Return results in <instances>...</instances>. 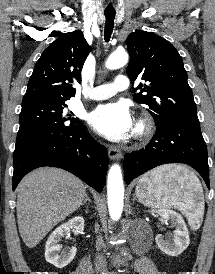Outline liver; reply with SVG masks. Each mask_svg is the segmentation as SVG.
Here are the masks:
<instances>
[{
    "instance_id": "1",
    "label": "liver",
    "mask_w": 215,
    "mask_h": 274,
    "mask_svg": "<svg viewBox=\"0 0 215 274\" xmlns=\"http://www.w3.org/2000/svg\"><path fill=\"white\" fill-rule=\"evenodd\" d=\"M83 182L58 168H39L17 188L19 233L27 247H35L59 222L75 212L86 194Z\"/></svg>"
}]
</instances>
